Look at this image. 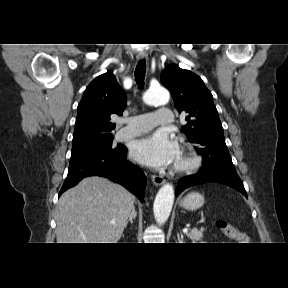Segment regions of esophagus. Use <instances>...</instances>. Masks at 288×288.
<instances>
[{
	"mask_svg": "<svg viewBox=\"0 0 288 288\" xmlns=\"http://www.w3.org/2000/svg\"><path fill=\"white\" fill-rule=\"evenodd\" d=\"M147 57V53L145 51H141L137 54V59L138 60H143ZM151 179L153 181V183L156 185V186H160L162 185L164 182H165V179L163 176H160V175H152L151 176Z\"/></svg>",
	"mask_w": 288,
	"mask_h": 288,
	"instance_id": "esophagus-1",
	"label": "esophagus"
}]
</instances>
